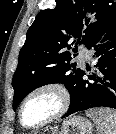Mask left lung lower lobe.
I'll return each instance as SVG.
<instances>
[{
	"label": "left lung lower lobe",
	"instance_id": "obj_1",
	"mask_svg": "<svg viewBox=\"0 0 116 134\" xmlns=\"http://www.w3.org/2000/svg\"><path fill=\"white\" fill-rule=\"evenodd\" d=\"M91 47L96 50L94 57H98L97 70L89 72L90 82L82 79L87 75L82 71L66 116L96 107L116 109V6L87 46Z\"/></svg>",
	"mask_w": 116,
	"mask_h": 134
}]
</instances>
